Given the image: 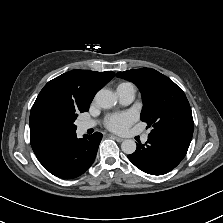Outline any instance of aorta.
I'll list each match as a JSON object with an SVG mask.
<instances>
[{
  "label": "aorta",
  "instance_id": "obj_1",
  "mask_svg": "<svg viewBox=\"0 0 223 223\" xmlns=\"http://www.w3.org/2000/svg\"><path fill=\"white\" fill-rule=\"evenodd\" d=\"M94 100L95 103L103 109H110L116 103L114 94L107 89H101L98 91ZM121 149L125 154H132L136 150V143L133 139L123 140Z\"/></svg>",
  "mask_w": 223,
  "mask_h": 223
}]
</instances>
